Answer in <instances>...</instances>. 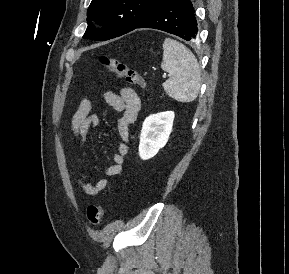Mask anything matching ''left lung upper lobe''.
Here are the masks:
<instances>
[{"mask_svg": "<svg viewBox=\"0 0 289 274\" xmlns=\"http://www.w3.org/2000/svg\"><path fill=\"white\" fill-rule=\"evenodd\" d=\"M166 0H92L85 39L109 40L134 30ZM103 26L96 28L92 23Z\"/></svg>", "mask_w": 289, "mask_h": 274, "instance_id": "1", "label": "left lung upper lobe"}]
</instances>
